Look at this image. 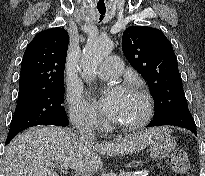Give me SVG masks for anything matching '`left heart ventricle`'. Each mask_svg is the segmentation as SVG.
Listing matches in <instances>:
<instances>
[{"instance_id": "1", "label": "left heart ventricle", "mask_w": 205, "mask_h": 176, "mask_svg": "<svg viewBox=\"0 0 205 176\" xmlns=\"http://www.w3.org/2000/svg\"><path fill=\"white\" fill-rule=\"evenodd\" d=\"M145 112L143 100L136 94H132L119 116L116 118L118 123L131 124L142 118Z\"/></svg>"}]
</instances>
